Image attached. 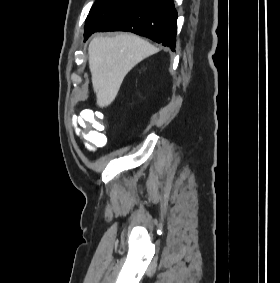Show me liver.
Instances as JSON below:
<instances>
[{
	"mask_svg": "<svg viewBox=\"0 0 280 283\" xmlns=\"http://www.w3.org/2000/svg\"><path fill=\"white\" fill-rule=\"evenodd\" d=\"M89 68L100 108L110 105L126 74L158 49L133 34L94 37L89 44Z\"/></svg>",
	"mask_w": 280,
	"mask_h": 283,
	"instance_id": "liver-1",
	"label": "liver"
}]
</instances>
